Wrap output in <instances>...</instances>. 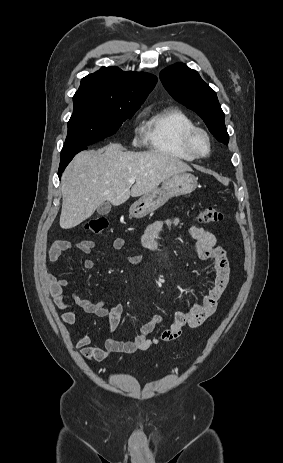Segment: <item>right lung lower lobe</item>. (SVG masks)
Wrapping results in <instances>:
<instances>
[{"instance_id":"right-lung-lower-lobe-1","label":"right lung lower lobe","mask_w":283,"mask_h":463,"mask_svg":"<svg viewBox=\"0 0 283 463\" xmlns=\"http://www.w3.org/2000/svg\"><path fill=\"white\" fill-rule=\"evenodd\" d=\"M87 149V147L75 149L69 152L61 153L60 155V166L58 170V176L61 178V174L66 168V166L69 164V162L73 159V157L80 151Z\"/></svg>"}]
</instances>
